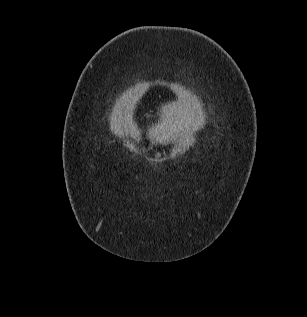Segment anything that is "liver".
<instances>
[{
    "label": "liver",
    "mask_w": 307,
    "mask_h": 317,
    "mask_svg": "<svg viewBox=\"0 0 307 317\" xmlns=\"http://www.w3.org/2000/svg\"><path fill=\"white\" fill-rule=\"evenodd\" d=\"M124 104L118 101L113 109L114 117L119 120L123 115ZM161 121L149 130L150 139L166 144L171 138H178L183 144H189L193 133L202 126L203 114L200 104L188 96L178 102L163 105Z\"/></svg>",
    "instance_id": "6515ba94"
}]
</instances>
